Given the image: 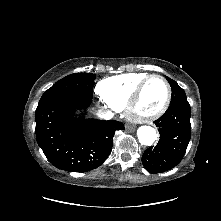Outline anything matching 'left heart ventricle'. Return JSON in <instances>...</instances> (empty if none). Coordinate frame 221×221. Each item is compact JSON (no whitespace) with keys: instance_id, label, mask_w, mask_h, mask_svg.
Returning a JSON list of instances; mask_svg holds the SVG:
<instances>
[{"instance_id":"obj_1","label":"left heart ventricle","mask_w":221,"mask_h":221,"mask_svg":"<svg viewBox=\"0 0 221 221\" xmlns=\"http://www.w3.org/2000/svg\"><path fill=\"white\" fill-rule=\"evenodd\" d=\"M165 97L166 87L164 83L158 78L151 79L141 94L137 112L139 114H150L156 111L163 104Z\"/></svg>"}]
</instances>
